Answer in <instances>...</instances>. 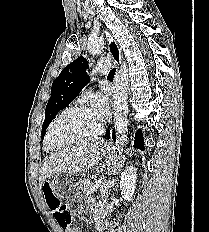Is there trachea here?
Instances as JSON below:
<instances>
[{
    "instance_id": "obj_1",
    "label": "trachea",
    "mask_w": 209,
    "mask_h": 232,
    "mask_svg": "<svg viewBox=\"0 0 209 232\" xmlns=\"http://www.w3.org/2000/svg\"><path fill=\"white\" fill-rule=\"evenodd\" d=\"M115 72H116V69L113 68V69L109 72L107 78H114Z\"/></svg>"
}]
</instances>
